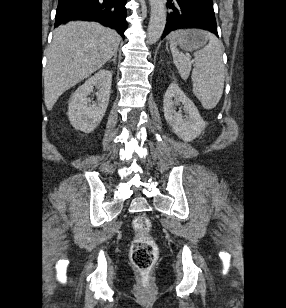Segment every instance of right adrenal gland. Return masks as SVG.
I'll return each instance as SVG.
<instances>
[{"label":"right adrenal gland","mask_w":286,"mask_h":308,"mask_svg":"<svg viewBox=\"0 0 286 308\" xmlns=\"http://www.w3.org/2000/svg\"><path fill=\"white\" fill-rule=\"evenodd\" d=\"M116 58H117V53L114 54L113 59L109 60L108 63L113 62L114 64H116Z\"/></svg>","instance_id":"obj_1"}]
</instances>
